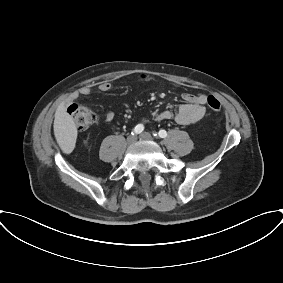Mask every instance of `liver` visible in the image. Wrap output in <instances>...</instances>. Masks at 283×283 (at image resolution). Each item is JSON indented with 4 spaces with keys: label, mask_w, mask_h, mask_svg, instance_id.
<instances>
[{
    "label": "liver",
    "mask_w": 283,
    "mask_h": 283,
    "mask_svg": "<svg viewBox=\"0 0 283 283\" xmlns=\"http://www.w3.org/2000/svg\"><path fill=\"white\" fill-rule=\"evenodd\" d=\"M54 135L61 150L69 154L73 151L77 139V128L73 118L66 112L64 104H60L55 112Z\"/></svg>",
    "instance_id": "1"
}]
</instances>
